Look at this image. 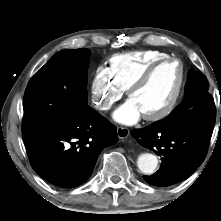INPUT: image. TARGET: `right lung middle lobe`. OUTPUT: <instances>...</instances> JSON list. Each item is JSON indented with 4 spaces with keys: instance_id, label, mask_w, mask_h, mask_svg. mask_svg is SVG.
I'll return each mask as SVG.
<instances>
[{
    "instance_id": "dd1d6c3e",
    "label": "right lung middle lobe",
    "mask_w": 221,
    "mask_h": 221,
    "mask_svg": "<svg viewBox=\"0 0 221 221\" xmlns=\"http://www.w3.org/2000/svg\"><path fill=\"white\" fill-rule=\"evenodd\" d=\"M86 48L56 53L30 80L24 94L22 134L70 123L88 107Z\"/></svg>"
}]
</instances>
